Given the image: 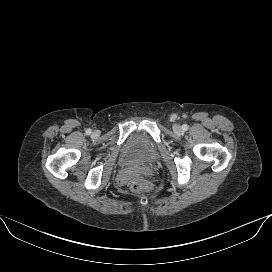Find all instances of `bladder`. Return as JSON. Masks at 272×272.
Masks as SVG:
<instances>
[{
  "mask_svg": "<svg viewBox=\"0 0 272 272\" xmlns=\"http://www.w3.org/2000/svg\"><path fill=\"white\" fill-rule=\"evenodd\" d=\"M159 157L156 143L145 132L129 135L123 143L120 160L124 166L150 164Z\"/></svg>",
  "mask_w": 272,
  "mask_h": 272,
  "instance_id": "obj_1",
  "label": "bladder"
}]
</instances>
